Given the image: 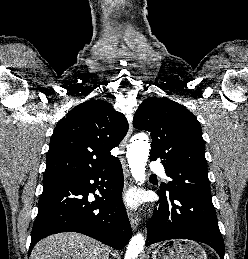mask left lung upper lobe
<instances>
[{"instance_id":"5c2ea615","label":"left lung upper lobe","mask_w":248,"mask_h":259,"mask_svg":"<svg viewBox=\"0 0 248 259\" xmlns=\"http://www.w3.org/2000/svg\"><path fill=\"white\" fill-rule=\"evenodd\" d=\"M133 125L150 132V160L160 159L172 179L161 185L163 193L211 199L201 126L188 109L165 97H150L137 109Z\"/></svg>"}]
</instances>
